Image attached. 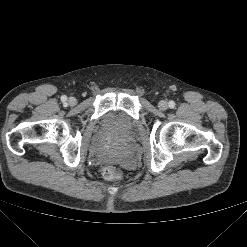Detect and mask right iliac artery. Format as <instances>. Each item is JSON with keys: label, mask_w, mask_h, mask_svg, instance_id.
<instances>
[{"label": "right iliac artery", "mask_w": 247, "mask_h": 247, "mask_svg": "<svg viewBox=\"0 0 247 247\" xmlns=\"http://www.w3.org/2000/svg\"><path fill=\"white\" fill-rule=\"evenodd\" d=\"M66 100H67V97H66V96H62V97H61V101H62V102H65Z\"/></svg>", "instance_id": "obj_1"}]
</instances>
